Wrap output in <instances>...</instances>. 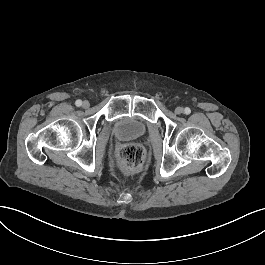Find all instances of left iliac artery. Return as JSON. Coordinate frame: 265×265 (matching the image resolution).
<instances>
[{
  "label": "left iliac artery",
  "instance_id": "obj_1",
  "mask_svg": "<svg viewBox=\"0 0 265 265\" xmlns=\"http://www.w3.org/2000/svg\"><path fill=\"white\" fill-rule=\"evenodd\" d=\"M184 112H185V114H190L191 113V110H190V108H188V107H186L185 109H184Z\"/></svg>",
  "mask_w": 265,
  "mask_h": 265
}]
</instances>
